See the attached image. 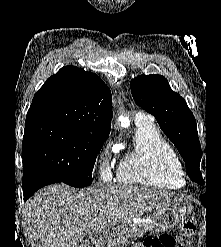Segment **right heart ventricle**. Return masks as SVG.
Listing matches in <instances>:
<instances>
[{"label": "right heart ventricle", "instance_id": "e07e8e85", "mask_svg": "<svg viewBox=\"0 0 221 247\" xmlns=\"http://www.w3.org/2000/svg\"><path fill=\"white\" fill-rule=\"evenodd\" d=\"M117 179L123 184L164 189L184 186L178 154L149 118L136 121L133 144L121 159Z\"/></svg>", "mask_w": 221, "mask_h": 247}]
</instances>
